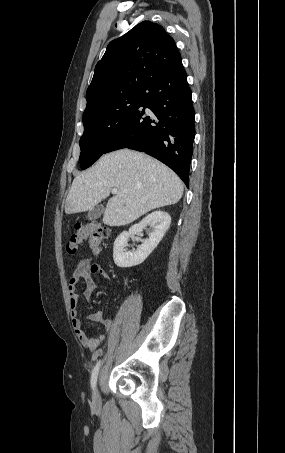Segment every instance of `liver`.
<instances>
[{
	"label": "liver",
	"instance_id": "6515ba94",
	"mask_svg": "<svg viewBox=\"0 0 285 453\" xmlns=\"http://www.w3.org/2000/svg\"><path fill=\"white\" fill-rule=\"evenodd\" d=\"M103 223L129 224L150 210L176 204L183 195V183L158 160L129 149L103 155L86 172L77 175L65 201V213L75 214L95 207L109 197Z\"/></svg>",
	"mask_w": 285,
	"mask_h": 453
}]
</instances>
